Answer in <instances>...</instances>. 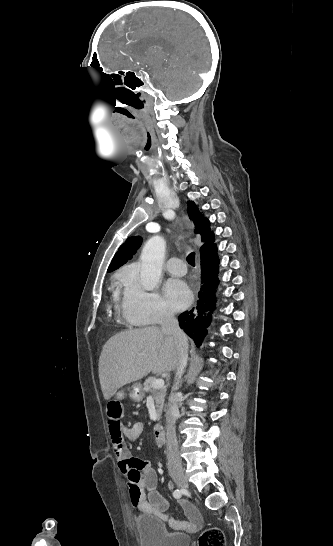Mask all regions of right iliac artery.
Returning <instances> with one entry per match:
<instances>
[{
    "label": "right iliac artery",
    "instance_id": "obj_1",
    "mask_svg": "<svg viewBox=\"0 0 333 546\" xmlns=\"http://www.w3.org/2000/svg\"><path fill=\"white\" fill-rule=\"evenodd\" d=\"M181 495H182V492L180 490H178V489L173 492V496L175 498H180Z\"/></svg>",
    "mask_w": 333,
    "mask_h": 546
}]
</instances>
